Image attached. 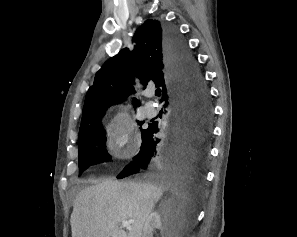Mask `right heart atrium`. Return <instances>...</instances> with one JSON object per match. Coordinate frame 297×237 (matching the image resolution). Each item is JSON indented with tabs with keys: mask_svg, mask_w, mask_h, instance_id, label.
Masks as SVG:
<instances>
[{
	"mask_svg": "<svg viewBox=\"0 0 297 237\" xmlns=\"http://www.w3.org/2000/svg\"><path fill=\"white\" fill-rule=\"evenodd\" d=\"M109 150L120 154L130 143V125L124 118H115L107 127Z\"/></svg>",
	"mask_w": 297,
	"mask_h": 237,
	"instance_id": "d8ad5b80",
	"label": "right heart atrium"
}]
</instances>
